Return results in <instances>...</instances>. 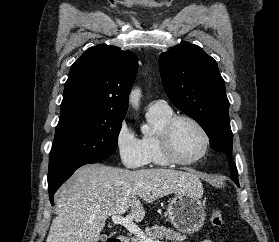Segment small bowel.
<instances>
[{
  "instance_id": "obj_1",
  "label": "small bowel",
  "mask_w": 279,
  "mask_h": 242,
  "mask_svg": "<svg viewBox=\"0 0 279 242\" xmlns=\"http://www.w3.org/2000/svg\"><path fill=\"white\" fill-rule=\"evenodd\" d=\"M201 242H214V241L207 239V240H203Z\"/></svg>"
}]
</instances>
